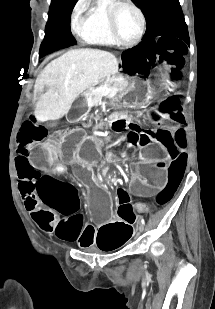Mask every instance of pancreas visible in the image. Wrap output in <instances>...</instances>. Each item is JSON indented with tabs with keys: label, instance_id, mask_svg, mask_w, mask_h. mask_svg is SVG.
Returning a JSON list of instances; mask_svg holds the SVG:
<instances>
[{
	"label": "pancreas",
	"instance_id": "1",
	"mask_svg": "<svg viewBox=\"0 0 215 309\" xmlns=\"http://www.w3.org/2000/svg\"><path fill=\"white\" fill-rule=\"evenodd\" d=\"M129 82L126 78L123 80H113V78H106V80H101L99 82V86H92L89 90H85L83 92V96L87 98V104L90 108L92 106H96L101 102V98H103V90L102 88H114V92H119V90H123V88H127ZM106 98H110V104L112 106H117L119 104V96H106Z\"/></svg>",
	"mask_w": 215,
	"mask_h": 309
}]
</instances>
